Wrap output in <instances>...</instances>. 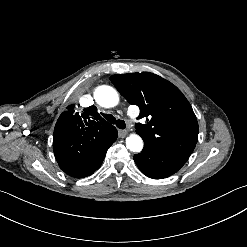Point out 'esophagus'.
I'll return each mask as SVG.
<instances>
[{"instance_id": "1", "label": "esophagus", "mask_w": 247, "mask_h": 247, "mask_svg": "<svg viewBox=\"0 0 247 247\" xmlns=\"http://www.w3.org/2000/svg\"><path fill=\"white\" fill-rule=\"evenodd\" d=\"M127 135L126 130H118V137L119 138H124Z\"/></svg>"}]
</instances>
